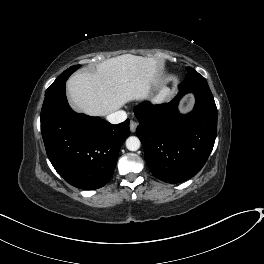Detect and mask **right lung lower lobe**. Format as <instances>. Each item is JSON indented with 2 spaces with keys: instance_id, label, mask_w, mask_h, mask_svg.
<instances>
[{
  "instance_id": "obj_1",
  "label": "right lung lower lobe",
  "mask_w": 264,
  "mask_h": 264,
  "mask_svg": "<svg viewBox=\"0 0 264 264\" xmlns=\"http://www.w3.org/2000/svg\"><path fill=\"white\" fill-rule=\"evenodd\" d=\"M41 133L55 170L74 187L93 190L113 176L119 149L128 138L129 120L112 125L71 110L65 83L45 94Z\"/></svg>"
}]
</instances>
